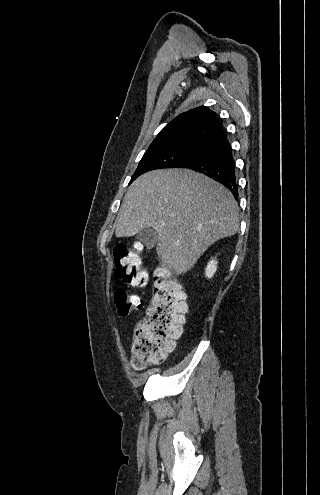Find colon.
Returning a JSON list of instances; mask_svg holds the SVG:
<instances>
[{
    "mask_svg": "<svg viewBox=\"0 0 320 495\" xmlns=\"http://www.w3.org/2000/svg\"><path fill=\"white\" fill-rule=\"evenodd\" d=\"M114 259L115 274L121 282L133 287L145 286L148 277L142 269L138 251L119 244L114 249ZM114 299L122 316L143 306L139 296L123 289L115 291ZM186 312V297L181 284L167 270H156L151 304L134 330L131 349L134 369L144 368L173 349L175 340L182 332Z\"/></svg>",
    "mask_w": 320,
    "mask_h": 495,
    "instance_id": "colon-1",
    "label": "colon"
}]
</instances>
